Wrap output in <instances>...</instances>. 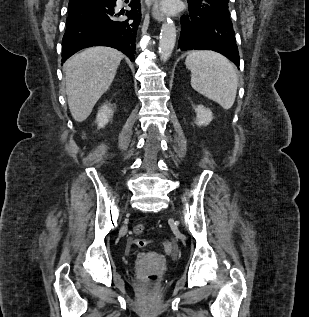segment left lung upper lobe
<instances>
[{"label":"left lung upper lobe","mask_w":309,"mask_h":317,"mask_svg":"<svg viewBox=\"0 0 309 317\" xmlns=\"http://www.w3.org/2000/svg\"><path fill=\"white\" fill-rule=\"evenodd\" d=\"M189 7L204 10L209 13L220 14L230 18L228 10L229 0H187Z\"/></svg>","instance_id":"left-lung-upper-lobe-1"}]
</instances>
